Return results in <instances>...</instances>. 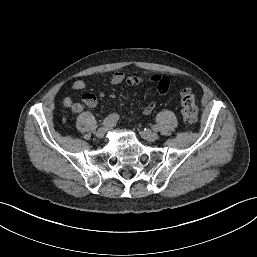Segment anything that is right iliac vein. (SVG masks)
I'll return each instance as SVG.
<instances>
[{
    "instance_id": "right-iliac-vein-1",
    "label": "right iliac vein",
    "mask_w": 257,
    "mask_h": 257,
    "mask_svg": "<svg viewBox=\"0 0 257 257\" xmlns=\"http://www.w3.org/2000/svg\"><path fill=\"white\" fill-rule=\"evenodd\" d=\"M106 132H107V127L106 126L101 127L96 131V137L99 139H102L104 138Z\"/></svg>"
}]
</instances>
